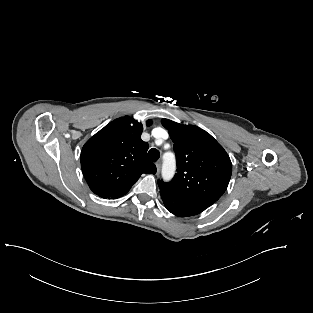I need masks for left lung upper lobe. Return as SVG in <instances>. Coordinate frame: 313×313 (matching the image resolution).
<instances>
[{
	"instance_id": "5c2ea615",
	"label": "left lung upper lobe",
	"mask_w": 313,
	"mask_h": 313,
	"mask_svg": "<svg viewBox=\"0 0 313 313\" xmlns=\"http://www.w3.org/2000/svg\"><path fill=\"white\" fill-rule=\"evenodd\" d=\"M174 142L177 173L160 192L205 210L215 203L229 184L232 163L223 147L206 131L194 125L161 120Z\"/></svg>"
}]
</instances>
